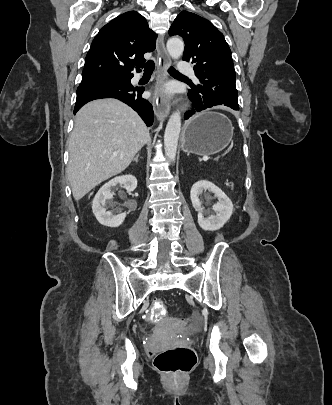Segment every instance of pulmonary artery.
Masks as SVG:
<instances>
[{
	"instance_id": "e3ab8cb5",
	"label": "pulmonary artery",
	"mask_w": 332,
	"mask_h": 405,
	"mask_svg": "<svg viewBox=\"0 0 332 405\" xmlns=\"http://www.w3.org/2000/svg\"><path fill=\"white\" fill-rule=\"evenodd\" d=\"M179 71L183 76L188 75L194 77V71L192 67L184 61H181L179 63ZM134 80H138V77H135Z\"/></svg>"
}]
</instances>
